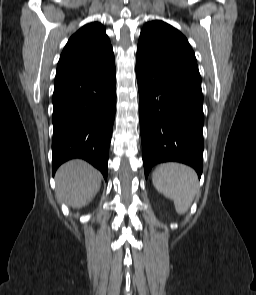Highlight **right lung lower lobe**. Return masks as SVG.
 I'll use <instances>...</instances> for the list:
<instances>
[{"label":"right lung lower lobe","mask_w":256,"mask_h":295,"mask_svg":"<svg viewBox=\"0 0 256 295\" xmlns=\"http://www.w3.org/2000/svg\"><path fill=\"white\" fill-rule=\"evenodd\" d=\"M116 109L115 63L55 82L52 172L65 161L82 158L105 180Z\"/></svg>","instance_id":"98d812e1"}]
</instances>
